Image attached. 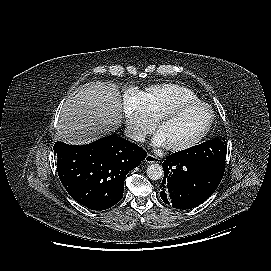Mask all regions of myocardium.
Returning <instances> with one entry per match:
<instances>
[{"label":"myocardium","instance_id":"obj_1","mask_svg":"<svg viewBox=\"0 0 271 271\" xmlns=\"http://www.w3.org/2000/svg\"><path fill=\"white\" fill-rule=\"evenodd\" d=\"M196 106H204L208 109L209 111V120L206 123V125L204 126V128L195 136L193 137L191 140L179 144V145H173V146H166L167 149L171 152H180V151H184L187 150L195 145H197L209 132L213 121H214V111L212 109V107L200 100H195V101H189V102H183V103H179L176 104L162 112H160L156 117H155V127L157 130H159V127L161 125V123L189 108L192 107H196Z\"/></svg>","mask_w":271,"mask_h":271}]
</instances>
